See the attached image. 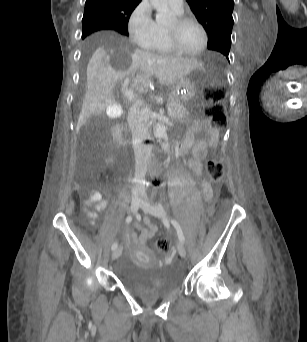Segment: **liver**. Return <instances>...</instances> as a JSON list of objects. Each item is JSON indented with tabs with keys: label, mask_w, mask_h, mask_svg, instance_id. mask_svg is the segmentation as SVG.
<instances>
[{
	"label": "liver",
	"mask_w": 307,
	"mask_h": 342,
	"mask_svg": "<svg viewBox=\"0 0 307 342\" xmlns=\"http://www.w3.org/2000/svg\"><path fill=\"white\" fill-rule=\"evenodd\" d=\"M96 49L87 66V90L76 132H80L92 114L100 116L105 112L115 84L125 76L136 74L132 88L145 92L149 88L151 76H155L159 84L171 86L202 66L194 58H173L166 54L159 56L136 50V44H120L119 40L97 44Z\"/></svg>",
	"instance_id": "6515ba94"
}]
</instances>
